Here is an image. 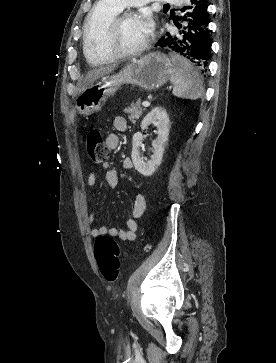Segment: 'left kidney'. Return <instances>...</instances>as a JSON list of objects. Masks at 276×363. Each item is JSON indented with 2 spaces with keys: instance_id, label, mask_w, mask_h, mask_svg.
<instances>
[{
  "instance_id": "5707ae66",
  "label": "left kidney",
  "mask_w": 276,
  "mask_h": 363,
  "mask_svg": "<svg viewBox=\"0 0 276 363\" xmlns=\"http://www.w3.org/2000/svg\"><path fill=\"white\" fill-rule=\"evenodd\" d=\"M154 125L157 128V137L152 142L154 148L153 155L149 161H144L140 153V145L143 140V134L137 132L132 138V161L135 169L143 176H151L160 166L164 148L169 136V117L163 107H155L143 119L141 129L145 130L148 126Z\"/></svg>"
}]
</instances>
